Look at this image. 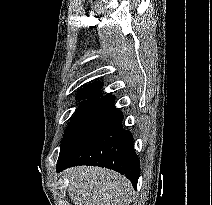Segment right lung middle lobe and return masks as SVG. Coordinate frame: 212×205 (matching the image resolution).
Segmentation results:
<instances>
[{
    "instance_id": "right-lung-middle-lobe-1",
    "label": "right lung middle lobe",
    "mask_w": 212,
    "mask_h": 205,
    "mask_svg": "<svg viewBox=\"0 0 212 205\" xmlns=\"http://www.w3.org/2000/svg\"><path fill=\"white\" fill-rule=\"evenodd\" d=\"M100 102V97H93L82 102L74 114L73 119L67 126L64 137L61 143L60 155L61 156L66 149L70 146L74 138L89 120V118L95 112L98 104Z\"/></svg>"
}]
</instances>
